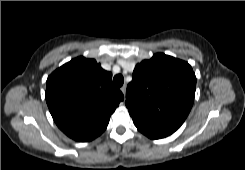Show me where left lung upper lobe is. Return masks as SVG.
Listing matches in <instances>:
<instances>
[{"label":"left lung upper lobe","mask_w":245,"mask_h":170,"mask_svg":"<svg viewBox=\"0 0 245 170\" xmlns=\"http://www.w3.org/2000/svg\"><path fill=\"white\" fill-rule=\"evenodd\" d=\"M195 89L196 76L187 62L157 53L136 65L126 106L133 121L175 132L191 110Z\"/></svg>","instance_id":"1"}]
</instances>
